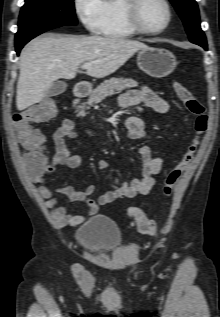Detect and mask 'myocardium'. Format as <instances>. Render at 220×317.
Listing matches in <instances>:
<instances>
[{
  "label": "myocardium",
  "mask_w": 220,
  "mask_h": 317,
  "mask_svg": "<svg viewBox=\"0 0 220 317\" xmlns=\"http://www.w3.org/2000/svg\"><path fill=\"white\" fill-rule=\"evenodd\" d=\"M167 10V20L163 27L159 29L146 28L140 17V11L145 0H125L124 13L129 25L140 34L144 35H158L163 33L171 24L173 18V9L168 0H160Z\"/></svg>",
  "instance_id": "f54148a6"
}]
</instances>
